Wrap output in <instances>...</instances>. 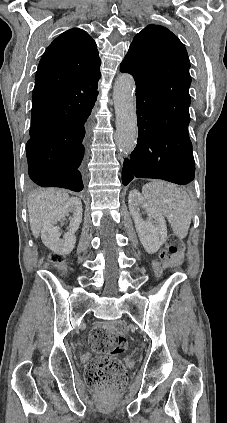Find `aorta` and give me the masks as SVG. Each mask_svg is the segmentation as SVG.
<instances>
[{
	"instance_id": "762f6f07",
	"label": "aorta",
	"mask_w": 227,
	"mask_h": 423,
	"mask_svg": "<svg viewBox=\"0 0 227 423\" xmlns=\"http://www.w3.org/2000/svg\"><path fill=\"white\" fill-rule=\"evenodd\" d=\"M135 81L130 74L120 75L114 84V107L116 114L117 146L124 155L130 154L138 137Z\"/></svg>"
}]
</instances>
